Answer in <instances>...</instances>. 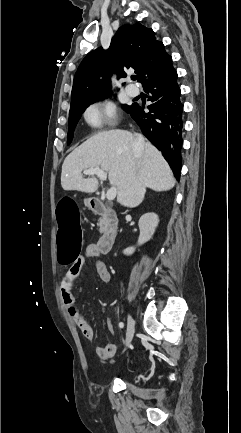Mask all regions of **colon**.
I'll return each instance as SVG.
<instances>
[{"mask_svg": "<svg viewBox=\"0 0 241 433\" xmlns=\"http://www.w3.org/2000/svg\"><path fill=\"white\" fill-rule=\"evenodd\" d=\"M54 220L59 221L56 237L58 239L57 264L62 270L77 261L80 247H83V231L81 230L80 206L75 205L73 197H60ZM68 279L73 277L71 272L66 274ZM69 291L74 289L70 281L65 283Z\"/></svg>", "mask_w": 241, "mask_h": 433, "instance_id": "5ec220e1", "label": "colon"}]
</instances>
